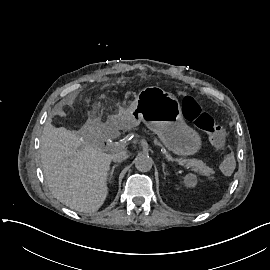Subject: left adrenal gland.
Listing matches in <instances>:
<instances>
[{
  "instance_id": "obj_1",
  "label": "left adrenal gland",
  "mask_w": 270,
  "mask_h": 270,
  "mask_svg": "<svg viewBox=\"0 0 270 270\" xmlns=\"http://www.w3.org/2000/svg\"><path fill=\"white\" fill-rule=\"evenodd\" d=\"M162 171H163L164 176H166L167 173L165 172V163H162Z\"/></svg>"
}]
</instances>
